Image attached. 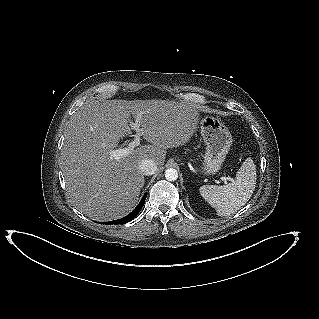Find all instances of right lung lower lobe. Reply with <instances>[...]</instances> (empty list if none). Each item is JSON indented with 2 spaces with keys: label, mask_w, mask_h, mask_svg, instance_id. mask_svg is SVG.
Masks as SVG:
<instances>
[{
  "label": "right lung lower lobe",
  "mask_w": 319,
  "mask_h": 319,
  "mask_svg": "<svg viewBox=\"0 0 319 319\" xmlns=\"http://www.w3.org/2000/svg\"><path fill=\"white\" fill-rule=\"evenodd\" d=\"M145 200H146V195L142 198V200L140 201V203L137 205V207L130 213L128 214L127 216L121 218V219H118V220H115V221H110V222H107L108 224H123L125 222H128L130 221L131 219H133L141 210V208L143 207L144 203H145Z\"/></svg>",
  "instance_id": "obj_1"
}]
</instances>
